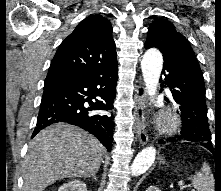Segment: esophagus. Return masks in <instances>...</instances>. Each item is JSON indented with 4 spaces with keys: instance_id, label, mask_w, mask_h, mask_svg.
Wrapping results in <instances>:
<instances>
[{
    "instance_id": "34e87169",
    "label": "esophagus",
    "mask_w": 221,
    "mask_h": 191,
    "mask_svg": "<svg viewBox=\"0 0 221 191\" xmlns=\"http://www.w3.org/2000/svg\"><path fill=\"white\" fill-rule=\"evenodd\" d=\"M136 102V130L139 143L145 145L148 142L147 134V111H146V90L143 82H140L135 94Z\"/></svg>"
}]
</instances>
